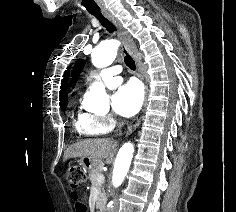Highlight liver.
I'll list each match as a JSON object with an SVG mask.
<instances>
[{"instance_id": "1", "label": "liver", "mask_w": 236, "mask_h": 212, "mask_svg": "<svg viewBox=\"0 0 236 212\" xmlns=\"http://www.w3.org/2000/svg\"><path fill=\"white\" fill-rule=\"evenodd\" d=\"M117 143L109 138L86 139L69 146L64 152L63 161L75 157H91L101 161L107 159V163L113 161V155Z\"/></svg>"}]
</instances>
